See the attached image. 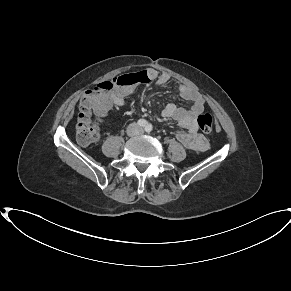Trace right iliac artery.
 Here are the masks:
<instances>
[{"label":"right iliac artery","mask_w":291,"mask_h":291,"mask_svg":"<svg viewBox=\"0 0 291 291\" xmlns=\"http://www.w3.org/2000/svg\"><path fill=\"white\" fill-rule=\"evenodd\" d=\"M138 125L141 126V127H145L147 125V121L144 120V119H140L138 120Z\"/></svg>","instance_id":"82829eb1"}]
</instances>
